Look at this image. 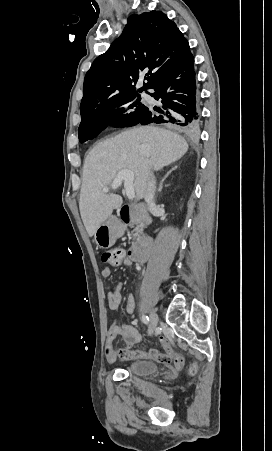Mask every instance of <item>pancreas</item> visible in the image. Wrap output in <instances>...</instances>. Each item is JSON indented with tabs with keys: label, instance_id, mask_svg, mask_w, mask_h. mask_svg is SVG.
<instances>
[{
	"label": "pancreas",
	"instance_id": "cf45deb5",
	"mask_svg": "<svg viewBox=\"0 0 272 451\" xmlns=\"http://www.w3.org/2000/svg\"><path fill=\"white\" fill-rule=\"evenodd\" d=\"M118 229H119L121 235H123L125 226H123V224H119ZM131 233L133 235V239H135V241H139V239H141V237L143 235V229L141 226H137V227H134V229H132ZM132 243H134V241H132Z\"/></svg>",
	"mask_w": 272,
	"mask_h": 451
}]
</instances>
